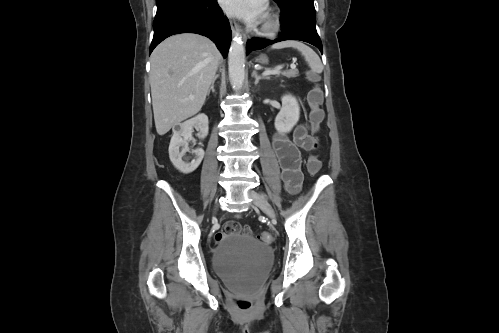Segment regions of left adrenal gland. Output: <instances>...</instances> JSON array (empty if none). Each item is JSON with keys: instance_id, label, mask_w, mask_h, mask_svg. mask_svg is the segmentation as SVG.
Segmentation results:
<instances>
[{"instance_id": "1", "label": "left adrenal gland", "mask_w": 499, "mask_h": 333, "mask_svg": "<svg viewBox=\"0 0 499 333\" xmlns=\"http://www.w3.org/2000/svg\"><path fill=\"white\" fill-rule=\"evenodd\" d=\"M252 77L255 78V85H257L261 79H268V77H266V76L258 75L256 70H254L252 72Z\"/></svg>"}]
</instances>
